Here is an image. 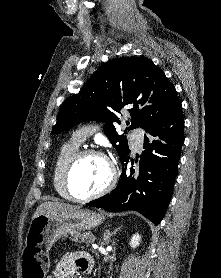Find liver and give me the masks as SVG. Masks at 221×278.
Here are the masks:
<instances>
[{
	"mask_svg": "<svg viewBox=\"0 0 221 278\" xmlns=\"http://www.w3.org/2000/svg\"><path fill=\"white\" fill-rule=\"evenodd\" d=\"M77 209L76 206L60 203V202H44L40 206L37 207L33 218L41 215V214H54V213H65L70 210Z\"/></svg>",
	"mask_w": 221,
	"mask_h": 278,
	"instance_id": "6515ba94",
	"label": "liver"
}]
</instances>
